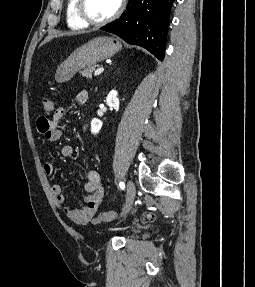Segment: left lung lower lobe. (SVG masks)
I'll use <instances>...</instances> for the list:
<instances>
[{"instance_id": "0a47b994", "label": "left lung lower lobe", "mask_w": 255, "mask_h": 287, "mask_svg": "<svg viewBox=\"0 0 255 287\" xmlns=\"http://www.w3.org/2000/svg\"><path fill=\"white\" fill-rule=\"evenodd\" d=\"M175 0H129L123 15L101 30L131 45L146 48L159 60L164 57L170 9Z\"/></svg>"}]
</instances>
